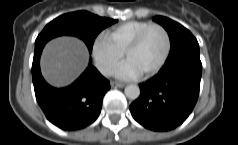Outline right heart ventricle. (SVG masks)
<instances>
[{"mask_svg":"<svg viewBox=\"0 0 238 145\" xmlns=\"http://www.w3.org/2000/svg\"><path fill=\"white\" fill-rule=\"evenodd\" d=\"M150 24L147 21H128L112 27L106 32L104 37L115 48L124 53L137 34Z\"/></svg>","mask_w":238,"mask_h":145,"instance_id":"obj_1","label":"right heart ventricle"}]
</instances>
